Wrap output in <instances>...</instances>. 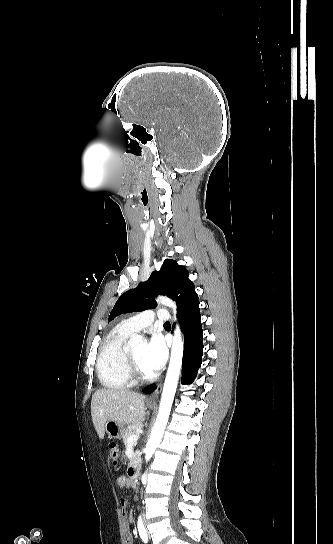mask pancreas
I'll return each instance as SVG.
<instances>
[{"instance_id": "obj_1", "label": "pancreas", "mask_w": 333, "mask_h": 544, "mask_svg": "<svg viewBox=\"0 0 333 544\" xmlns=\"http://www.w3.org/2000/svg\"><path fill=\"white\" fill-rule=\"evenodd\" d=\"M140 427H141V423H140V422H137V423H135V424H133V425L128 426V427L125 429V431H124V433H123V435H122V439H123V442H124L125 445L128 444V438H129L131 435L136 434V433H137V430H138ZM138 452H139V451L137 450V451H135V452L133 453V455H132V457H131V459H130L131 461H130L129 465H132V463L135 461V459H136V457H137V455H138Z\"/></svg>"}]
</instances>
